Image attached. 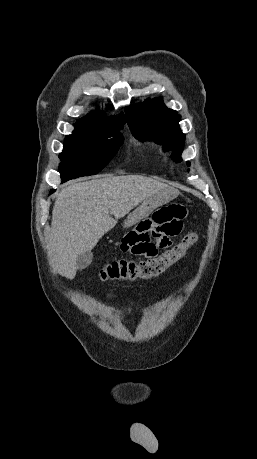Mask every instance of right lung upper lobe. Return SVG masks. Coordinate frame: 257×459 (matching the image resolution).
<instances>
[{
	"mask_svg": "<svg viewBox=\"0 0 257 459\" xmlns=\"http://www.w3.org/2000/svg\"><path fill=\"white\" fill-rule=\"evenodd\" d=\"M123 124H125V117L123 113H121L119 117H108L104 114L91 112L86 117L78 120L75 126L97 132H107L121 130L123 129Z\"/></svg>",
	"mask_w": 257,
	"mask_h": 459,
	"instance_id": "obj_1",
	"label": "right lung upper lobe"
}]
</instances>
